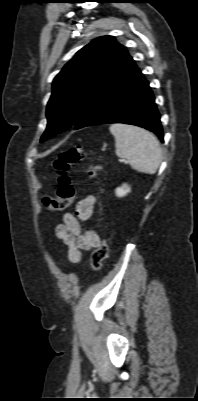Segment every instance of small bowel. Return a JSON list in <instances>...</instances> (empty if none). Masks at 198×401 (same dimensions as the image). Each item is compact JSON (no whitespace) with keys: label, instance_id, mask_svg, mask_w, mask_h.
Here are the masks:
<instances>
[{"label":"small bowel","instance_id":"obj_1","mask_svg":"<svg viewBox=\"0 0 198 401\" xmlns=\"http://www.w3.org/2000/svg\"><path fill=\"white\" fill-rule=\"evenodd\" d=\"M95 206L94 196L89 195L81 199L74 211L64 214L62 222L56 226V236L68 247L67 257L72 264L81 261L82 252L96 248L101 242L95 230H82L81 227V222L93 215Z\"/></svg>","mask_w":198,"mask_h":401}]
</instances>
